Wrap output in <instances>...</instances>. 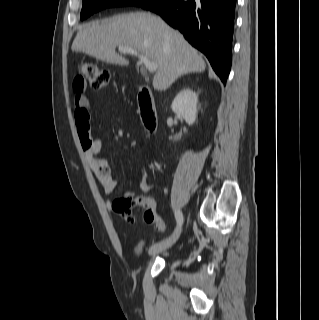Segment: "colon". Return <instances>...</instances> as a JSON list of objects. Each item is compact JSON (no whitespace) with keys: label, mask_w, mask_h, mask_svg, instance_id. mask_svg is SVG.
<instances>
[{"label":"colon","mask_w":319,"mask_h":320,"mask_svg":"<svg viewBox=\"0 0 319 320\" xmlns=\"http://www.w3.org/2000/svg\"><path fill=\"white\" fill-rule=\"evenodd\" d=\"M111 82V72L107 69L98 67L92 62H83L80 65L79 75L76 77L74 83L79 89L89 84L93 89H102L107 87ZM81 132L86 136H91L90 122L87 117L83 118ZM143 200L141 197H122L117 198L112 203V209L118 215L126 218L128 223H134L135 217L132 213L134 207H139ZM144 221L148 224H153L159 231L166 229V224L155 213L150 211L144 212Z\"/></svg>","instance_id":"colon-1"}]
</instances>
